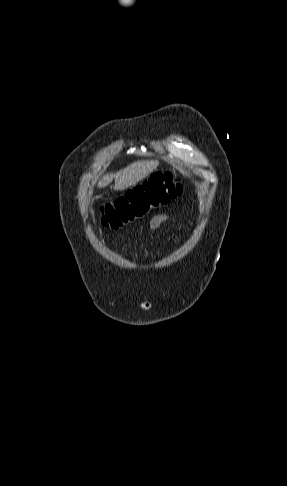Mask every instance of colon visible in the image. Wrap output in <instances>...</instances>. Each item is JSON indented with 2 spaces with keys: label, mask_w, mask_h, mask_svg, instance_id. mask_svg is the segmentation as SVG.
<instances>
[{
  "label": "colon",
  "mask_w": 287,
  "mask_h": 486,
  "mask_svg": "<svg viewBox=\"0 0 287 486\" xmlns=\"http://www.w3.org/2000/svg\"><path fill=\"white\" fill-rule=\"evenodd\" d=\"M183 187L171 172L151 175L142 184L101 207L102 223L110 229L140 219L153 209L181 195Z\"/></svg>",
  "instance_id": "obj_1"
}]
</instances>
